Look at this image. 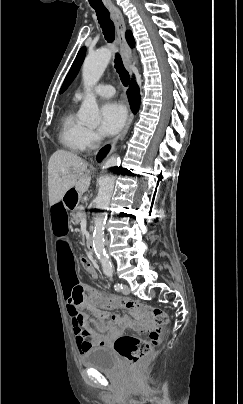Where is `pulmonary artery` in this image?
I'll use <instances>...</instances> for the list:
<instances>
[{"label":"pulmonary artery","instance_id":"obj_1","mask_svg":"<svg viewBox=\"0 0 243 404\" xmlns=\"http://www.w3.org/2000/svg\"><path fill=\"white\" fill-rule=\"evenodd\" d=\"M99 55L102 56V64L105 65L108 61L106 50L101 51ZM93 91L99 96L108 97L114 94V87L109 83H99L94 86ZM77 95L80 98L82 97V91L80 89L77 91Z\"/></svg>","mask_w":243,"mask_h":404}]
</instances>
